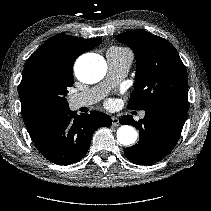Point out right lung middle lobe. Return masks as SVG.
Returning a JSON list of instances; mask_svg holds the SVG:
<instances>
[{"instance_id":"obj_1","label":"right lung middle lobe","mask_w":211,"mask_h":211,"mask_svg":"<svg viewBox=\"0 0 211 211\" xmlns=\"http://www.w3.org/2000/svg\"><path fill=\"white\" fill-rule=\"evenodd\" d=\"M73 85L58 78L45 68H37L26 82V92L38 104L68 109L67 88Z\"/></svg>"}]
</instances>
